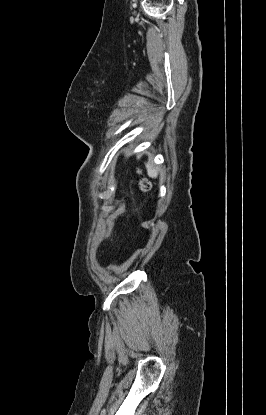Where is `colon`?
<instances>
[{
  "label": "colon",
  "instance_id": "obj_1",
  "mask_svg": "<svg viewBox=\"0 0 266 415\" xmlns=\"http://www.w3.org/2000/svg\"><path fill=\"white\" fill-rule=\"evenodd\" d=\"M139 188L142 192H147L150 189V184L146 180H142L139 182Z\"/></svg>",
  "mask_w": 266,
  "mask_h": 415
}]
</instances>
